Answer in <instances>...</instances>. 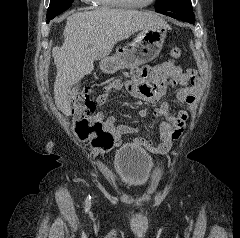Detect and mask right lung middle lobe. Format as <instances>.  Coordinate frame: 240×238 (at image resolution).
Wrapping results in <instances>:
<instances>
[{
  "instance_id": "right-lung-middle-lobe-1",
  "label": "right lung middle lobe",
  "mask_w": 240,
  "mask_h": 238,
  "mask_svg": "<svg viewBox=\"0 0 240 238\" xmlns=\"http://www.w3.org/2000/svg\"><path fill=\"white\" fill-rule=\"evenodd\" d=\"M74 0H50V5L47 11V23L55 16L68 9Z\"/></svg>"
}]
</instances>
